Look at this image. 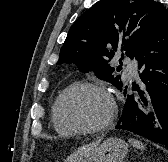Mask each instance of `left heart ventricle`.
Wrapping results in <instances>:
<instances>
[{"instance_id":"obj_1","label":"left heart ventricle","mask_w":168,"mask_h":162,"mask_svg":"<svg viewBox=\"0 0 168 162\" xmlns=\"http://www.w3.org/2000/svg\"><path fill=\"white\" fill-rule=\"evenodd\" d=\"M64 109L66 115L77 123L97 125L104 122L110 115L111 102L101 92L82 89L66 99Z\"/></svg>"}]
</instances>
